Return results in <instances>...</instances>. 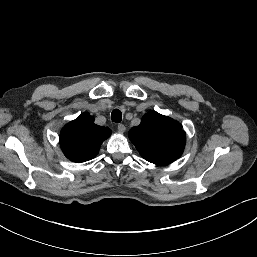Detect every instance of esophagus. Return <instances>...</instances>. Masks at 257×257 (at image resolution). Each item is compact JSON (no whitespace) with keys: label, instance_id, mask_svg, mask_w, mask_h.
<instances>
[{"label":"esophagus","instance_id":"1","mask_svg":"<svg viewBox=\"0 0 257 257\" xmlns=\"http://www.w3.org/2000/svg\"><path fill=\"white\" fill-rule=\"evenodd\" d=\"M117 128H118L119 133H124L126 130V127L124 124H118Z\"/></svg>","mask_w":257,"mask_h":257}]
</instances>
